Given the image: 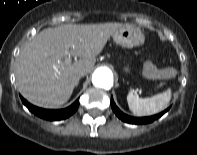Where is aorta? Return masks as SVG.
<instances>
[{
	"mask_svg": "<svg viewBox=\"0 0 197 155\" xmlns=\"http://www.w3.org/2000/svg\"><path fill=\"white\" fill-rule=\"evenodd\" d=\"M92 82L96 87L110 89L113 83V74L107 67H100L95 70Z\"/></svg>",
	"mask_w": 197,
	"mask_h": 155,
	"instance_id": "obj_1",
	"label": "aorta"
}]
</instances>
